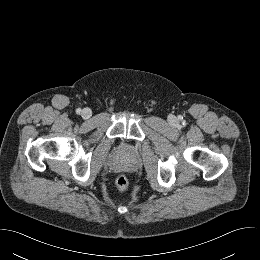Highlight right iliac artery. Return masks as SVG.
<instances>
[{
	"mask_svg": "<svg viewBox=\"0 0 260 260\" xmlns=\"http://www.w3.org/2000/svg\"><path fill=\"white\" fill-rule=\"evenodd\" d=\"M76 113L80 114L81 113V109L80 108L76 109Z\"/></svg>",
	"mask_w": 260,
	"mask_h": 260,
	"instance_id": "right-iliac-artery-1",
	"label": "right iliac artery"
}]
</instances>
